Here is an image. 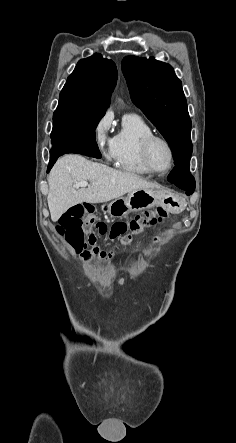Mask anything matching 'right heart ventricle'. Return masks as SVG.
I'll return each mask as SVG.
<instances>
[{"label": "right heart ventricle", "instance_id": "e07e8e85", "mask_svg": "<svg viewBox=\"0 0 236 443\" xmlns=\"http://www.w3.org/2000/svg\"><path fill=\"white\" fill-rule=\"evenodd\" d=\"M153 130L139 115L130 114L123 118L122 125L114 137L113 163L128 173L147 175L149 170L141 158V143Z\"/></svg>", "mask_w": 236, "mask_h": 443}]
</instances>
